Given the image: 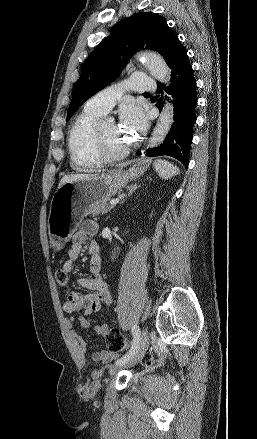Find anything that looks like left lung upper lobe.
Segmentation results:
<instances>
[{
  "mask_svg": "<svg viewBox=\"0 0 257 439\" xmlns=\"http://www.w3.org/2000/svg\"><path fill=\"white\" fill-rule=\"evenodd\" d=\"M177 38L166 21L152 12L136 13L118 22L83 63L66 121L87 99L113 82L136 51L152 49L167 61Z\"/></svg>",
  "mask_w": 257,
  "mask_h": 439,
  "instance_id": "obj_1",
  "label": "left lung upper lobe"
}]
</instances>
